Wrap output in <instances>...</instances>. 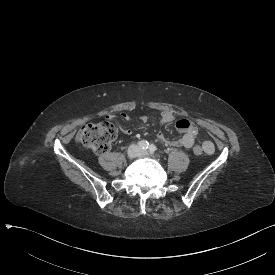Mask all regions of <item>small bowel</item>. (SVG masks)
Listing matches in <instances>:
<instances>
[{"label": "small bowel", "instance_id": "small-bowel-1", "mask_svg": "<svg viewBox=\"0 0 275 275\" xmlns=\"http://www.w3.org/2000/svg\"><path fill=\"white\" fill-rule=\"evenodd\" d=\"M116 115V114H115ZM114 114H106L105 115V120L106 121H112V124L114 126H117L119 124V121L116 119V116ZM120 119L121 120H126L128 119V116L126 113H121L120 114ZM143 121H146V117H142ZM162 124H168L172 123L175 121V117L173 113L171 112H165L162 114L161 119H160ZM119 128V127H118ZM176 128L183 133V135L180 138L177 139H169L165 137L161 132L157 133V138L165 143L166 145L169 146H181L184 148H192L195 144V138L198 135L199 129L195 123L192 121L186 119V118H181L176 121ZM125 135L130 136L133 131L131 129H125L122 131ZM203 147L205 148V152L208 154H212L214 152V144L211 141H204L203 142Z\"/></svg>", "mask_w": 275, "mask_h": 275}]
</instances>
